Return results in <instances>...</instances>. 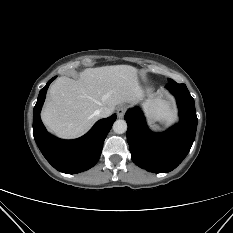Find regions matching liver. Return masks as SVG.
<instances>
[{
	"mask_svg": "<svg viewBox=\"0 0 233 233\" xmlns=\"http://www.w3.org/2000/svg\"><path fill=\"white\" fill-rule=\"evenodd\" d=\"M143 97L136 68L129 65L87 68L78 80L63 76L50 86L41 118L55 135L77 138L99 119L96 110L107 107L113 112L118 104L137 103ZM149 104L159 115H168V106L161 97L151 99Z\"/></svg>",
	"mask_w": 233,
	"mask_h": 233,
	"instance_id": "6515ba94",
	"label": "liver"
}]
</instances>
